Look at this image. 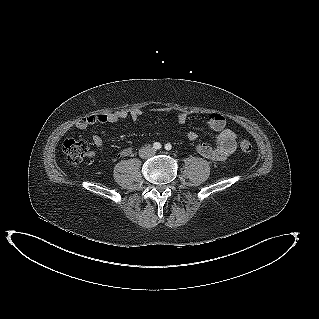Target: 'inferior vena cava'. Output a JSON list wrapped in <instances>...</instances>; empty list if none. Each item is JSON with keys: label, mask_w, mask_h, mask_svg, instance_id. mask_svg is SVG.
I'll return each instance as SVG.
<instances>
[{"label": "inferior vena cava", "mask_w": 319, "mask_h": 319, "mask_svg": "<svg viewBox=\"0 0 319 319\" xmlns=\"http://www.w3.org/2000/svg\"><path fill=\"white\" fill-rule=\"evenodd\" d=\"M143 150H147L150 154L154 153V149L150 146L143 147V149H141L140 152H142Z\"/></svg>", "instance_id": "inferior-vena-cava-1"}]
</instances>
